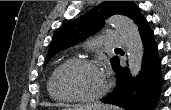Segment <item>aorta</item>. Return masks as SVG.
I'll list each match as a JSON object with an SVG mask.
<instances>
[{"instance_id": "1", "label": "aorta", "mask_w": 171, "mask_h": 110, "mask_svg": "<svg viewBox=\"0 0 171 110\" xmlns=\"http://www.w3.org/2000/svg\"><path fill=\"white\" fill-rule=\"evenodd\" d=\"M109 23L125 41L131 76H138L141 71L144 49L137 25L130 18L122 15L112 16Z\"/></svg>"}]
</instances>
